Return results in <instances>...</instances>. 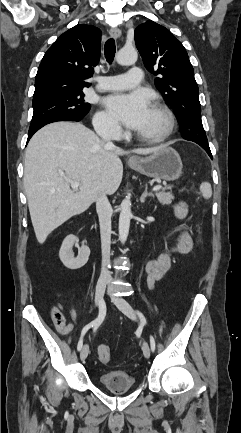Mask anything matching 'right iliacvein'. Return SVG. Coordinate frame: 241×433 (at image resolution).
<instances>
[{"mask_svg": "<svg viewBox=\"0 0 241 433\" xmlns=\"http://www.w3.org/2000/svg\"><path fill=\"white\" fill-rule=\"evenodd\" d=\"M107 283L105 281H99L96 285V292H95V303L96 305H100L101 301L103 300V295L106 290ZM89 354V346L86 344L83 346L81 353H80V359L84 361Z\"/></svg>", "mask_w": 241, "mask_h": 433, "instance_id": "63e3f726", "label": "right iliac vein"}]
</instances>
